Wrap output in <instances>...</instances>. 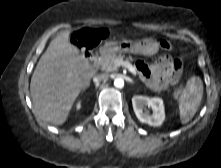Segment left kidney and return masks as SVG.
I'll use <instances>...</instances> for the list:
<instances>
[{
  "instance_id": "5707ae66",
  "label": "left kidney",
  "mask_w": 221,
  "mask_h": 168,
  "mask_svg": "<svg viewBox=\"0 0 221 168\" xmlns=\"http://www.w3.org/2000/svg\"><path fill=\"white\" fill-rule=\"evenodd\" d=\"M133 110L142 123L150 126H160L165 119L163 100L158 97L149 98L147 96L135 95L132 98ZM148 106L153 113L150 115L145 109Z\"/></svg>"
}]
</instances>
